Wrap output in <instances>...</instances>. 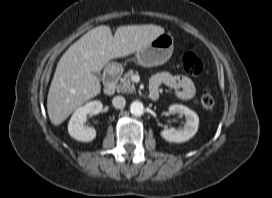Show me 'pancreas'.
<instances>
[{
    "instance_id": "obj_1",
    "label": "pancreas",
    "mask_w": 272,
    "mask_h": 198,
    "mask_svg": "<svg viewBox=\"0 0 272 198\" xmlns=\"http://www.w3.org/2000/svg\"><path fill=\"white\" fill-rule=\"evenodd\" d=\"M138 74V71L129 70L124 74L120 84L117 86V91L122 93H134L135 85L132 80L133 76Z\"/></svg>"
}]
</instances>
